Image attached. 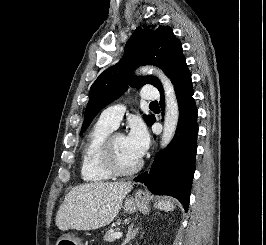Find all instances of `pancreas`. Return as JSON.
Wrapping results in <instances>:
<instances>
[{
  "mask_svg": "<svg viewBox=\"0 0 266 245\" xmlns=\"http://www.w3.org/2000/svg\"><path fill=\"white\" fill-rule=\"evenodd\" d=\"M115 233H120V229H112V231H107L103 237L104 241H108V243H114V241H116Z\"/></svg>",
  "mask_w": 266,
  "mask_h": 245,
  "instance_id": "1",
  "label": "pancreas"
}]
</instances>
